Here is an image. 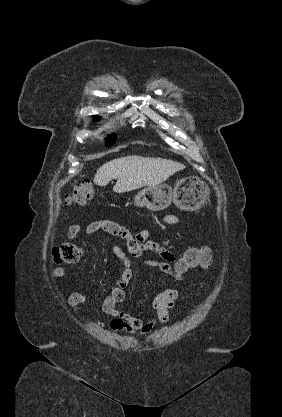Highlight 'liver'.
<instances>
[{"label": "liver", "mask_w": 282, "mask_h": 417, "mask_svg": "<svg viewBox=\"0 0 282 417\" xmlns=\"http://www.w3.org/2000/svg\"><path fill=\"white\" fill-rule=\"evenodd\" d=\"M185 164L169 158H151V156H120L104 162L98 168L93 182L106 186L112 178H117L113 186L115 192H127L141 186H156L167 180L177 170H183Z\"/></svg>", "instance_id": "6515ba94"}]
</instances>
